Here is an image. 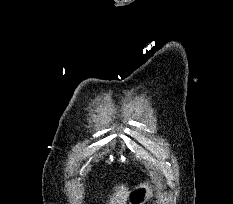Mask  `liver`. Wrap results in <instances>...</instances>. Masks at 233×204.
Returning <instances> with one entry per match:
<instances>
[{"label":"liver","mask_w":233,"mask_h":204,"mask_svg":"<svg viewBox=\"0 0 233 204\" xmlns=\"http://www.w3.org/2000/svg\"><path fill=\"white\" fill-rule=\"evenodd\" d=\"M128 188L125 185H120L115 188V196L111 197L110 204H125L128 197Z\"/></svg>","instance_id":"obj_1"}]
</instances>
